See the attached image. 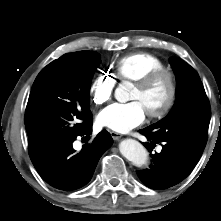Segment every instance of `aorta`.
<instances>
[{
    "mask_svg": "<svg viewBox=\"0 0 221 221\" xmlns=\"http://www.w3.org/2000/svg\"><path fill=\"white\" fill-rule=\"evenodd\" d=\"M129 86V83H125L116 89L115 98L118 101L123 102L128 99ZM119 150L121 154L135 166L141 167L147 164L148 152L138 141L134 139H125L119 144Z\"/></svg>",
    "mask_w": 221,
    "mask_h": 221,
    "instance_id": "762f6f07",
    "label": "aorta"
}]
</instances>
